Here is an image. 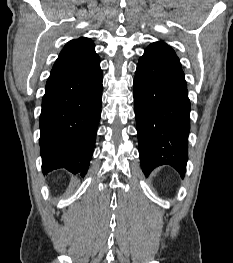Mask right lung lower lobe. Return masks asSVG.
Returning a JSON list of instances; mask_svg holds the SVG:
<instances>
[{
  "mask_svg": "<svg viewBox=\"0 0 233 263\" xmlns=\"http://www.w3.org/2000/svg\"><path fill=\"white\" fill-rule=\"evenodd\" d=\"M102 99L100 60L82 74L53 75L42 99V172L65 168L83 177L93 153Z\"/></svg>",
  "mask_w": 233,
  "mask_h": 263,
  "instance_id": "obj_1",
  "label": "right lung lower lobe"
}]
</instances>
